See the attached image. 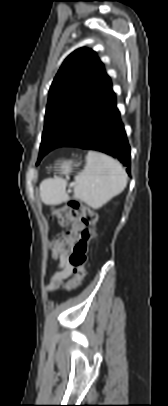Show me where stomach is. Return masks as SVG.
<instances>
[{
    "instance_id": "stomach-1",
    "label": "stomach",
    "mask_w": 168,
    "mask_h": 406,
    "mask_svg": "<svg viewBox=\"0 0 168 406\" xmlns=\"http://www.w3.org/2000/svg\"><path fill=\"white\" fill-rule=\"evenodd\" d=\"M74 165L72 160H62L56 164L55 168L61 175L68 176L72 172Z\"/></svg>"
}]
</instances>
